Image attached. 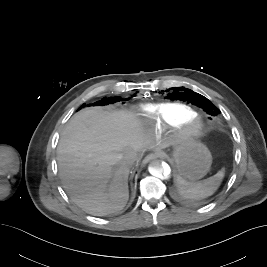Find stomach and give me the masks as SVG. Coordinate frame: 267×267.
I'll use <instances>...</instances> for the list:
<instances>
[{"mask_svg": "<svg viewBox=\"0 0 267 267\" xmlns=\"http://www.w3.org/2000/svg\"><path fill=\"white\" fill-rule=\"evenodd\" d=\"M172 157L179 175L189 181L203 178L212 164V156L208 148L191 139L177 142L174 145Z\"/></svg>", "mask_w": 267, "mask_h": 267, "instance_id": "1", "label": "stomach"}]
</instances>
